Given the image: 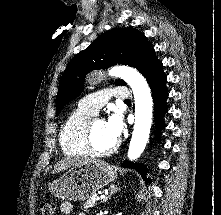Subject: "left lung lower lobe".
<instances>
[{"mask_svg":"<svg viewBox=\"0 0 221 215\" xmlns=\"http://www.w3.org/2000/svg\"><path fill=\"white\" fill-rule=\"evenodd\" d=\"M149 86L152 90V96L155 106V124H156V135L164 127L163 115L167 111L166 100L168 98V92L166 90V75L163 72L162 62L157 61L150 66L144 73ZM124 167L136 168L141 174L147 173V168L142 164H132L130 161L122 164ZM150 182V179H147Z\"/></svg>","mask_w":221,"mask_h":215,"instance_id":"obj_1","label":"left lung lower lobe"}]
</instances>
